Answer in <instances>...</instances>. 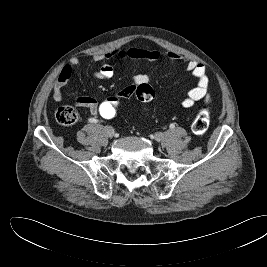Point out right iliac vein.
<instances>
[{
	"label": "right iliac vein",
	"instance_id": "right-iliac-vein-1",
	"mask_svg": "<svg viewBox=\"0 0 267 267\" xmlns=\"http://www.w3.org/2000/svg\"><path fill=\"white\" fill-rule=\"evenodd\" d=\"M104 131L106 132V134L108 135V137L112 138L115 134L114 129L111 126H105L104 127Z\"/></svg>",
	"mask_w": 267,
	"mask_h": 267
}]
</instances>
